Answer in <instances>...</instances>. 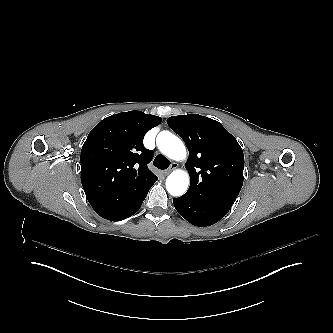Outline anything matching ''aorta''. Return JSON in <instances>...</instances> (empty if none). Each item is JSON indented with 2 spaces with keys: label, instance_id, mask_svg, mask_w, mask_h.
Wrapping results in <instances>:
<instances>
[{
  "label": "aorta",
  "instance_id": "aorta-1",
  "mask_svg": "<svg viewBox=\"0 0 333 333\" xmlns=\"http://www.w3.org/2000/svg\"><path fill=\"white\" fill-rule=\"evenodd\" d=\"M159 150L172 160L180 161L186 157V149L183 142L175 135L168 134L161 142L157 143ZM189 185L188 175L177 170L166 179V189L172 196L183 195Z\"/></svg>",
  "mask_w": 333,
  "mask_h": 333
}]
</instances>
